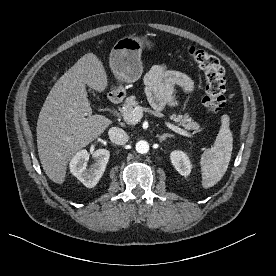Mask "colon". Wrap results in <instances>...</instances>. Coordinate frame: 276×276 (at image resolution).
I'll return each mask as SVG.
<instances>
[{
	"label": "colon",
	"instance_id": "1",
	"mask_svg": "<svg viewBox=\"0 0 276 276\" xmlns=\"http://www.w3.org/2000/svg\"><path fill=\"white\" fill-rule=\"evenodd\" d=\"M188 53L205 76L203 105L211 114H219L226 104L225 76L219 60L196 46H191Z\"/></svg>",
	"mask_w": 276,
	"mask_h": 276
}]
</instances>
